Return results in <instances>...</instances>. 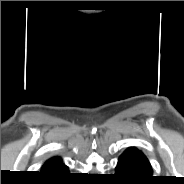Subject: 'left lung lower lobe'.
<instances>
[{
    "label": "left lung lower lobe",
    "instance_id": "obj_1",
    "mask_svg": "<svg viewBox=\"0 0 184 184\" xmlns=\"http://www.w3.org/2000/svg\"><path fill=\"white\" fill-rule=\"evenodd\" d=\"M152 168L144 154L128 148L119 157L115 176L128 184H149L153 180Z\"/></svg>",
    "mask_w": 184,
    "mask_h": 184
}]
</instances>
